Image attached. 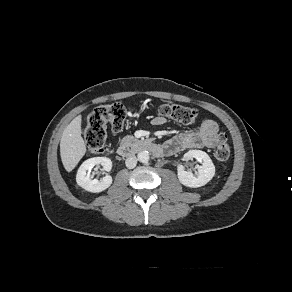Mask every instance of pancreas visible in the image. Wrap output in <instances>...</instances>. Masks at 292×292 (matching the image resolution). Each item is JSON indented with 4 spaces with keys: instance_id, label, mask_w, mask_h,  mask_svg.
Masks as SVG:
<instances>
[{
    "instance_id": "cf45deb5",
    "label": "pancreas",
    "mask_w": 292,
    "mask_h": 292,
    "mask_svg": "<svg viewBox=\"0 0 292 292\" xmlns=\"http://www.w3.org/2000/svg\"><path fill=\"white\" fill-rule=\"evenodd\" d=\"M133 136H127L125 139H133Z\"/></svg>"
}]
</instances>
